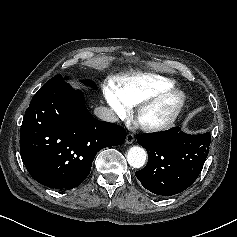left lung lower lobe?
<instances>
[{"label":"left lung lower lobe","instance_id":"obj_1","mask_svg":"<svg viewBox=\"0 0 237 237\" xmlns=\"http://www.w3.org/2000/svg\"><path fill=\"white\" fill-rule=\"evenodd\" d=\"M210 141L209 132L189 135L180 127L139 136L137 142L147 150L148 163L135 175L143 187L157 195L178 194L197 179Z\"/></svg>","mask_w":237,"mask_h":237}]
</instances>
